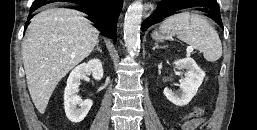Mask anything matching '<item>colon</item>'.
<instances>
[{"label": "colon", "mask_w": 257, "mask_h": 130, "mask_svg": "<svg viewBox=\"0 0 257 130\" xmlns=\"http://www.w3.org/2000/svg\"><path fill=\"white\" fill-rule=\"evenodd\" d=\"M205 114V109L203 107L195 108L190 114L183 118L182 122L188 120H199Z\"/></svg>", "instance_id": "5ec220e1"}]
</instances>
